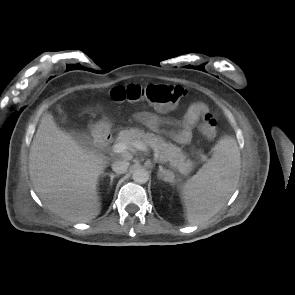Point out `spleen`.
Segmentation results:
<instances>
[{"label":"spleen","mask_w":295,"mask_h":295,"mask_svg":"<svg viewBox=\"0 0 295 295\" xmlns=\"http://www.w3.org/2000/svg\"><path fill=\"white\" fill-rule=\"evenodd\" d=\"M240 168L237 142L224 137L214 146L209 161L181 189L189 224L209 220L224 206L237 187Z\"/></svg>","instance_id":"spleen-1"}]
</instances>
